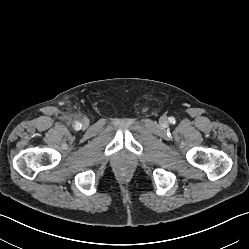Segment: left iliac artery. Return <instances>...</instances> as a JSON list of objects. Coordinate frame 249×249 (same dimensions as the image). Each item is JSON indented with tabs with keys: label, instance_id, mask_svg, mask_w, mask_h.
Instances as JSON below:
<instances>
[{
	"label": "left iliac artery",
	"instance_id": "left-iliac-artery-1",
	"mask_svg": "<svg viewBox=\"0 0 249 249\" xmlns=\"http://www.w3.org/2000/svg\"><path fill=\"white\" fill-rule=\"evenodd\" d=\"M169 122L172 123V124L175 123V118L174 117H169Z\"/></svg>",
	"mask_w": 249,
	"mask_h": 249
}]
</instances>
